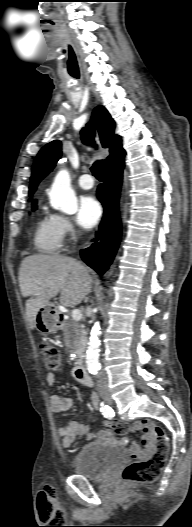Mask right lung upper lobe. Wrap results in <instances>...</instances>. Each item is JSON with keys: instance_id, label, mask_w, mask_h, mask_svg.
Instances as JSON below:
<instances>
[{"instance_id": "1", "label": "right lung upper lobe", "mask_w": 192, "mask_h": 527, "mask_svg": "<svg viewBox=\"0 0 192 527\" xmlns=\"http://www.w3.org/2000/svg\"><path fill=\"white\" fill-rule=\"evenodd\" d=\"M95 128L100 136L104 148L109 147L111 155L105 160V167L125 154L121 146V138L114 135L115 123L108 111L103 106L94 109L91 122L81 131L82 140L86 144H92ZM61 157V142L58 140L46 144L35 158L29 187V196L35 192L38 183L53 169ZM36 200H33V203Z\"/></svg>"}]
</instances>
